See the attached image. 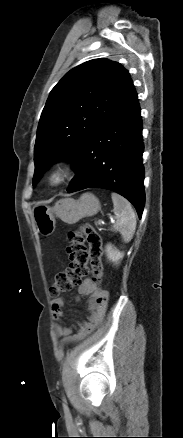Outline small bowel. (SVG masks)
I'll return each mask as SVG.
<instances>
[{"label":"small bowel","instance_id":"obj_1","mask_svg":"<svg viewBox=\"0 0 183 438\" xmlns=\"http://www.w3.org/2000/svg\"><path fill=\"white\" fill-rule=\"evenodd\" d=\"M78 294L80 296H88V319L77 323L73 327H66L60 322L55 324V330L59 336H69L67 341H78L89 335L104 319L109 293L105 290H98L91 280H84L78 286ZM79 300V297H77ZM65 301L63 298H56L52 301V311L54 318L59 321L63 316V308ZM76 328L77 333L71 336L72 329Z\"/></svg>","mask_w":183,"mask_h":438}]
</instances>
